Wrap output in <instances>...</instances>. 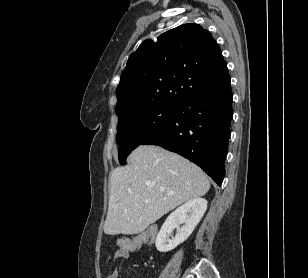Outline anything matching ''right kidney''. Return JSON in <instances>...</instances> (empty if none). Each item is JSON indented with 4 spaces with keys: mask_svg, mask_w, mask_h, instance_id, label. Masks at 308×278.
I'll return each mask as SVG.
<instances>
[{
    "mask_svg": "<svg viewBox=\"0 0 308 278\" xmlns=\"http://www.w3.org/2000/svg\"><path fill=\"white\" fill-rule=\"evenodd\" d=\"M207 209V200L196 198L178 207L172 212L163 223L157 234L155 245L158 251L168 252L184 242L193 232L200 222ZM183 226L179 229V225ZM174 229H178L174 239H169L168 235Z\"/></svg>",
    "mask_w": 308,
    "mask_h": 278,
    "instance_id": "1",
    "label": "right kidney"
}]
</instances>
